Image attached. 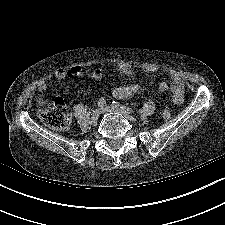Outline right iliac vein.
Here are the masks:
<instances>
[{"label": "right iliac vein", "instance_id": "63e3f726", "mask_svg": "<svg viewBox=\"0 0 225 225\" xmlns=\"http://www.w3.org/2000/svg\"><path fill=\"white\" fill-rule=\"evenodd\" d=\"M101 113H102L101 109H96L93 111V113L91 115V123L92 124H95L98 121Z\"/></svg>", "mask_w": 225, "mask_h": 225}]
</instances>
